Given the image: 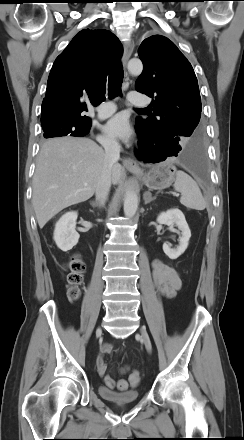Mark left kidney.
Returning <instances> with one entry per match:
<instances>
[{"label":"left kidney","mask_w":244,"mask_h":440,"mask_svg":"<svg viewBox=\"0 0 244 440\" xmlns=\"http://www.w3.org/2000/svg\"><path fill=\"white\" fill-rule=\"evenodd\" d=\"M159 224H165L168 226L176 225L181 231V237L179 238V245L176 248H170L168 244H163V251L170 259H177L181 254L185 252L188 247L189 239L191 237V231L186 222L184 214L179 209H170L161 213L157 217Z\"/></svg>","instance_id":"1"}]
</instances>
